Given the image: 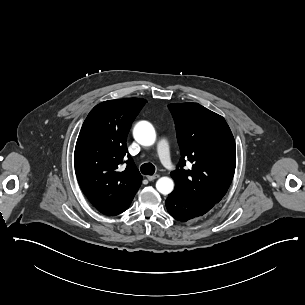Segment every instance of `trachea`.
<instances>
[{
    "label": "trachea",
    "instance_id": "obj_1",
    "mask_svg": "<svg viewBox=\"0 0 305 305\" xmlns=\"http://www.w3.org/2000/svg\"><path fill=\"white\" fill-rule=\"evenodd\" d=\"M141 173L144 175H153L155 173V166L152 163H145L141 166Z\"/></svg>",
    "mask_w": 305,
    "mask_h": 305
}]
</instances>
